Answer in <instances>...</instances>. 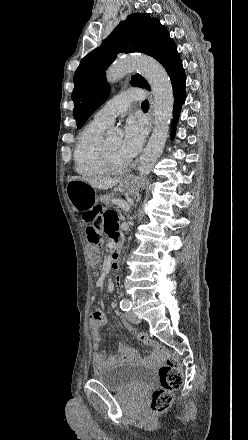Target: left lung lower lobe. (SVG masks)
<instances>
[{"mask_svg":"<svg viewBox=\"0 0 248 440\" xmlns=\"http://www.w3.org/2000/svg\"><path fill=\"white\" fill-rule=\"evenodd\" d=\"M174 93V109H173V122H172V134L175 133V128L177 124V119L179 115V111L181 109V105L185 102L186 93V77L185 75L176 76L171 79Z\"/></svg>","mask_w":248,"mask_h":440,"instance_id":"0a47b994","label":"left lung lower lobe"}]
</instances>
